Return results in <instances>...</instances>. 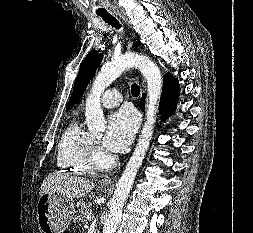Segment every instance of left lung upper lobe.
Returning <instances> with one entry per match:
<instances>
[{
    "label": "left lung upper lobe",
    "instance_id": "left-lung-upper-lobe-1",
    "mask_svg": "<svg viewBox=\"0 0 253 233\" xmlns=\"http://www.w3.org/2000/svg\"><path fill=\"white\" fill-rule=\"evenodd\" d=\"M137 44L141 45L140 41H137ZM102 57L103 54L95 50L90 51L85 57L80 66L79 74L75 80L73 93L67 104L66 111L72 108V106L80 99L90 79L94 76L96 69L100 65Z\"/></svg>",
    "mask_w": 253,
    "mask_h": 233
}]
</instances>
